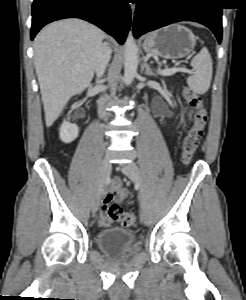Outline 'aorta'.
<instances>
[{
  "mask_svg": "<svg viewBox=\"0 0 246 300\" xmlns=\"http://www.w3.org/2000/svg\"><path fill=\"white\" fill-rule=\"evenodd\" d=\"M138 47L132 31H129L124 47V81L130 85L137 74Z\"/></svg>",
  "mask_w": 246,
  "mask_h": 300,
  "instance_id": "1",
  "label": "aorta"
}]
</instances>
